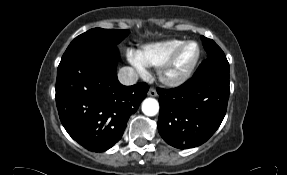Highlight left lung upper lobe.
Masks as SVG:
<instances>
[{
  "label": "left lung upper lobe",
  "instance_id": "1",
  "mask_svg": "<svg viewBox=\"0 0 287 175\" xmlns=\"http://www.w3.org/2000/svg\"><path fill=\"white\" fill-rule=\"evenodd\" d=\"M207 59L204 60L193 78L220 75L229 78V63L221 48L211 39L201 36Z\"/></svg>",
  "mask_w": 287,
  "mask_h": 175
}]
</instances>
